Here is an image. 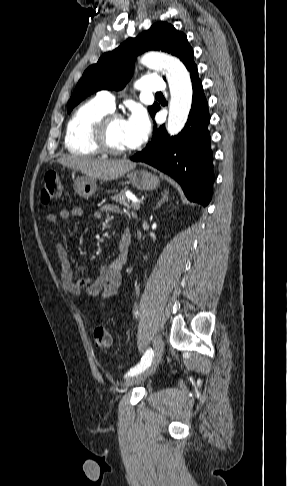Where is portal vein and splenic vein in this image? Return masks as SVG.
Returning a JSON list of instances; mask_svg holds the SVG:
<instances>
[{
  "instance_id": "obj_1",
  "label": "portal vein and splenic vein",
  "mask_w": 287,
  "mask_h": 486,
  "mask_svg": "<svg viewBox=\"0 0 287 486\" xmlns=\"http://www.w3.org/2000/svg\"><path fill=\"white\" fill-rule=\"evenodd\" d=\"M131 199V205L134 208H139L140 207V201L136 198H132L131 196H128Z\"/></svg>"
}]
</instances>
